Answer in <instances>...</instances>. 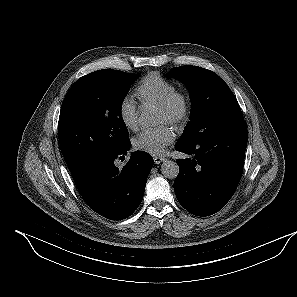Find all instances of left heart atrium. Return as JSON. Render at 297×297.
<instances>
[{"label": "left heart atrium", "mask_w": 297, "mask_h": 297, "mask_svg": "<svg viewBox=\"0 0 297 297\" xmlns=\"http://www.w3.org/2000/svg\"><path fill=\"white\" fill-rule=\"evenodd\" d=\"M175 139L171 126L163 124L153 129L143 130L133 141L135 149L151 155H161Z\"/></svg>", "instance_id": "1"}]
</instances>
